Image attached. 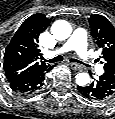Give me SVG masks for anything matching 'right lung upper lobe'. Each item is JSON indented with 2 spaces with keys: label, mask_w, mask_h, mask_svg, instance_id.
Instances as JSON below:
<instances>
[{
  "label": "right lung upper lobe",
  "mask_w": 115,
  "mask_h": 119,
  "mask_svg": "<svg viewBox=\"0 0 115 119\" xmlns=\"http://www.w3.org/2000/svg\"><path fill=\"white\" fill-rule=\"evenodd\" d=\"M50 19L42 13L28 17L19 27L5 49L3 68L9 82L50 65L40 61L38 38L49 25Z\"/></svg>",
  "instance_id": "obj_1"
}]
</instances>
